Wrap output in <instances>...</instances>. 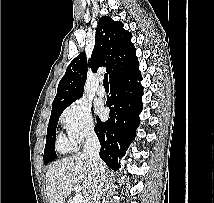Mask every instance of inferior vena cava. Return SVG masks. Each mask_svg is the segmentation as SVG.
<instances>
[{"label": "inferior vena cava", "instance_id": "602c4592", "mask_svg": "<svg viewBox=\"0 0 214 203\" xmlns=\"http://www.w3.org/2000/svg\"><path fill=\"white\" fill-rule=\"evenodd\" d=\"M100 143L94 131L88 133L84 144L83 155L90 166L91 188L85 203H100L104 185L105 166L99 155Z\"/></svg>", "mask_w": 214, "mask_h": 203}]
</instances>
